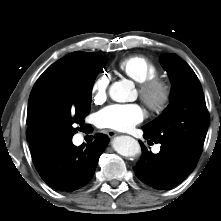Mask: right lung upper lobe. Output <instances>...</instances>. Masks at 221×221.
Here are the masks:
<instances>
[{"label": "right lung upper lobe", "instance_id": "right-lung-upper-lobe-1", "mask_svg": "<svg viewBox=\"0 0 221 221\" xmlns=\"http://www.w3.org/2000/svg\"><path fill=\"white\" fill-rule=\"evenodd\" d=\"M96 53H85V52H73L65 57L61 58L54 64H52L49 68H47L44 73L39 77V79L36 81L33 89L38 87L40 84H42L47 78L54 75L55 73L61 71L64 68L70 67L72 65H75L76 63H79L81 61H84L90 57L96 56Z\"/></svg>", "mask_w": 221, "mask_h": 221}]
</instances>
